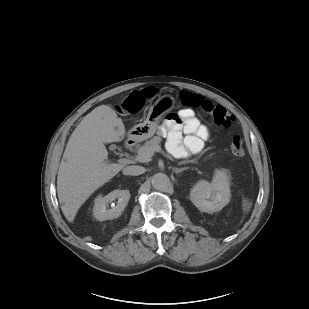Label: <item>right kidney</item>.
Wrapping results in <instances>:
<instances>
[{
	"label": "right kidney",
	"mask_w": 309,
	"mask_h": 309,
	"mask_svg": "<svg viewBox=\"0 0 309 309\" xmlns=\"http://www.w3.org/2000/svg\"><path fill=\"white\" fill-rule=\"evenodd\" d=\"M116 199L118 200L117 205L108 209V204ZM129 200L130 193L128 190H114L104 197L98 196L95 199L93 215L99 221L115 219L121 215Z\"/></svg>",
	"instance_id": "right-kidney-1"
}]
</instances>
